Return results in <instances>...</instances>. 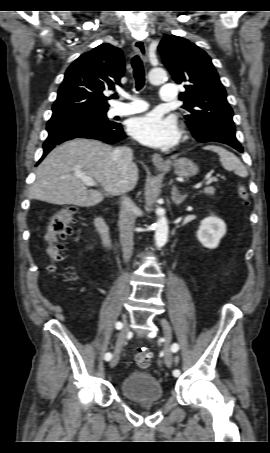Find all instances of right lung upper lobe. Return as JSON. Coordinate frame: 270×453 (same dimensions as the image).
I'll return each mask as SVG.
<instances>
[{"label":"right lung upper lobe","mask_w":270,"mask_h":453,"mask_svg":"<svg viewBox=\"0 0 270 453\" xmlns=\"http://www.w3.org/2000/svg\"><path fill=\"white\" fill-rule=\"evenodd\" d=\"M125 71L122 51L108 43L82 54L67 69L51 119L85 111L108 110L104 92L120 85Z\"/></svg>","instance_id":"1"}]
</instances>
